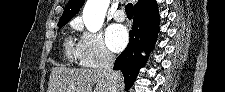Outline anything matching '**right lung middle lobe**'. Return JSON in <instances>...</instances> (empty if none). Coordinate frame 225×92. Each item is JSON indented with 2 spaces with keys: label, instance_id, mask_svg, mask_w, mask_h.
<instances>
[{
  "label": "right lung middle lobe",
  "instance_id": "dd1d6c3e",
  "mask_svg": "<svg viewBox=\"0 0 225 92\" xmlns=\"http://www.w3.org/2000/svg\"><path fill=\"white\" fill-rule=\"evenodd\" d=\"M68 21L58 22V27L62 28Z\"/></svg>",
  "mask_w": 225,
  "mask_h": 92
}]
</instances>
